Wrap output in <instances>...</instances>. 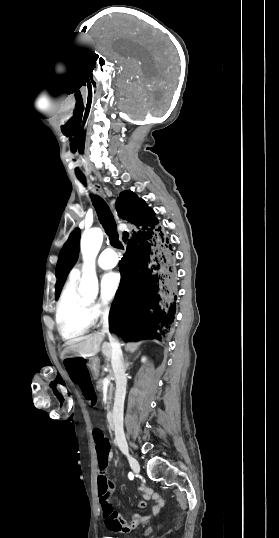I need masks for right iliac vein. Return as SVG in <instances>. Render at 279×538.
<instances>
[{
	"label": "right iliac vein",
	"mask_w": 279,
	"mask_h": 538,
	"mask_svg": "<svg viewBox=\"0 0 279 538\" xmlns=\"http://www.w3.org/2000/svg\"><path fill=\"white\" fill-rule=\"evenodd\" d=\"M127 459L129 461V464H130L132 470L134 471V473H139L140 472V466H139L138 461L134 457L129 455V454H127Z\"/></svg>",
	"instance_id": "1"
}]
</instances>
